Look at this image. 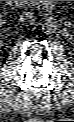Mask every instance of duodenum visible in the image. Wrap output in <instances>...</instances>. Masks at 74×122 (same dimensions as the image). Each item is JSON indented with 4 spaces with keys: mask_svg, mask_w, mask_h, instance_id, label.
Segmentation results:
<instances>
[{
    "mask_svg": "<svg viewBox=\"0 0 74 122\" xmlns=\"http://www.w3.org/2000/svg\"><path fill=\"white\" fill-rule=\"evenodd\" d=\"M15 4L20 5L22 8H27L30 6V1H11ZM53 1H38V7L40 8V10L42 11H49L52 9L53 7Z\"/></svg>",
    "mask_w": 74,
    "mask_h": 122,
    "instance_id": "obj_1",
    "label": "duodenum"
}]
</instances>
